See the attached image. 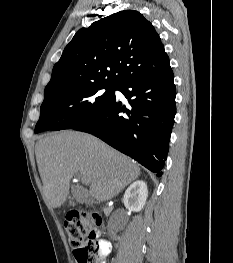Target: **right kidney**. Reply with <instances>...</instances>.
<instances>
[{"instance_id":"1","label":"right kidney","mask_w":233,"mask_h":263,"mask_svg":"<svg viewBox=\"0 0 233 263\" xmlns=\"http://www.w3.org/2000/svg\"><path fill=\"white\" fill-rule=\"evenodd\" d=\"M148 197L147 185L142 180L132 183L125 191L123 202L129 211L139 212L143 209Z\"/></svg>"}]
</instances>
